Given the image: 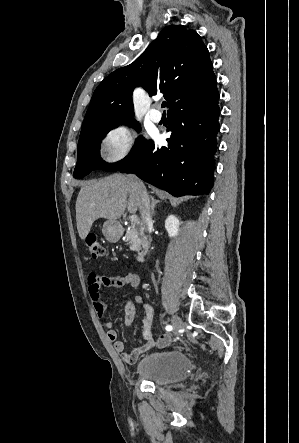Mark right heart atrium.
<instances>
[{"label":"right heart atrium","mask_w":299,"mask_h":443,"mask_svg":"<svg viewBox=\"0 0 299 443\" xmlns=\"http://www.w3.org/2000/svg\"><path fill=\"white\" fill-rule=\"evenodd\" d=\"M137 131L127 125H116L102 137L101 150L108 162H119L128 157L137 141Z\"/></svg>","instance_id":"right-heart-atrium-1"}]
</instances>
